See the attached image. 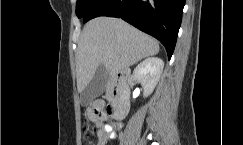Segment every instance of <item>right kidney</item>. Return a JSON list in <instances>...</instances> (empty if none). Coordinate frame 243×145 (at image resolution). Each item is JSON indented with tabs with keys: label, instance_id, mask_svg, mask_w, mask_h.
I'll return each mask as SVG.
<instances>
[{
	"label": "right kidney",
	"instance_id": "obj_1",
	"mask_svg": "<svg viewBox=\"0 0 243 145\" xmlns=\"http://www.w3.org/2000/svg\"><path fill=\"white\" fill-rule=\"evenodd\" d=\"M164 68V62L158 57H149L134 69V78L143 87V96H149L156 87Z\"/></svg>",
	"mask_w": 243,
	"mask_h": 145
}]
</instances>
